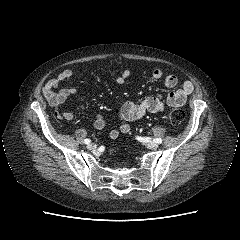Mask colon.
<instances>
[{
  "instance_id": "5ec220e1",
  "label": "colon",
  "mask_w": 240,
  "mask_h": 240,
  "mask_svg": "<svg viewBox=\"0 0 240 240\" xmlns=\"http://www.w3.org/2000/svg\"><path fill=\"white\" fill-rule=\"evenodd\" d=\"M166 119L170 124L178 125L184 119V112L181 109L172 108L167 112Z\"/></svg>"
}]
</instances>
